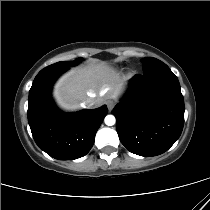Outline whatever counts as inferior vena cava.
<instances>
[{
  "instance_id": "inferior-vena-cava-1",
  "label": "inferior vena cava",
  "mask_w": 210,
  "mask_h": 210,
  "mask_svg": "<svg viewBox=\"0 0 210 210\" xmlns=\"http://www.w3.org/2000/svg\"><path fill=\"white\" fill-rule=\"evenodd\" d=\"M83 104L88 107V108H91L93 107L94 105H96V100L92 97H88L84 102Z\"/></svg>"
}]
</instances>
